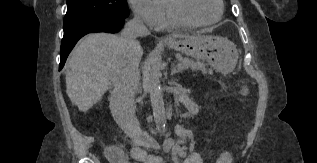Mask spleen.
<instances>
[{
    "label": "spleen",
    "instance_id": "obj_1",
    "mask_svg": "<svg viewBox=\"0 0 317 163\" xmlns=\"http://www.w3.org/2000/svg\"><path fill=\"white\" fill-rule=\"evenodd\" d=\"M247 93H248V89L246 87H244L242 90V94H247Z\"/></svg>",
    "mask_w": 317,
    "mask_h": 163
}]
</instances>
